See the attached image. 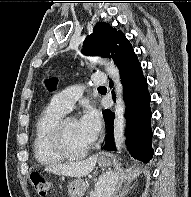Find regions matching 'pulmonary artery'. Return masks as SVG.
I'll list each match as a JSON object with an SVG mask.
<instances>
[{"mask_svg": "<svg viewBox=\"0 0 191 197\" xmlns=\"http://www.w3.org/2000/svg\"><path fill=\"white\" fill-rule=\"evenodd\" d=\"M106 73L100 72L94 75V86L103 85L106 82ZM84 87L82 85H73L65 88L61 92L55 94L52 102L65 112H69L74 103L83 95Z\"/></svg>", "mask_w": 191, "mask_h": 197, "instance_id": "obj_1", "label": "pulmonary artery"}]
</instances>
